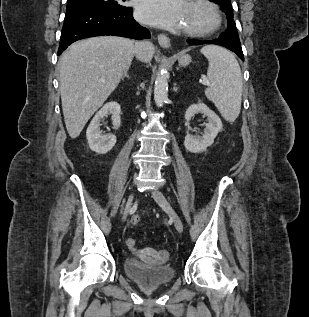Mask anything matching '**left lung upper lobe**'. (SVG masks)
<instances>
[{
	"instance_id": "1",
	"label": "left lung upper lobe",
	"mask_w": 309,
	"mask_h": 317,
	"mask_svg": "<svg viewBox=\"0 0 309 317\" xmlns=\"http://www.w3.org/2000/svg\"><path fill=\"white\" fill-rule=\"evenodd\" d=\"M212 2L218 3L221 9L227 16V29L222 35L231 37L233 39L239 40L236 24L233 19V8L231 0H210Z\"/></svg>"
}]
</instances>
